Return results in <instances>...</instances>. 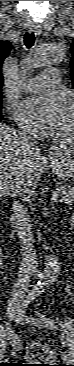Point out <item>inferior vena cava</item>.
<instances>
[{
  "instance_id": "1",
  "label": "inferior vena cava",
  "mask_w": 74,
  "mask_h": 366,
  "mask_svg": "<svg viewBox=\"0 0 74 366\" xmlns=\"http://www.w3.org/2000/svg\"><path fill=\"white\" fill-rule=\"evenodd\" d=\"M37 135L30 130L20 132V143L36 149ZM27 192L25 186H16L12 196L15 201L12 205L11 220L14 227L17 229L18 237L21 243L22 262L18 274L17 282L14 284L12 296L23 297L29 285V279L33 271V264H36V253L33 245V231L30 217L26 208L19 199L23 200V195Z\"/></svg>"
}]
</instances>
